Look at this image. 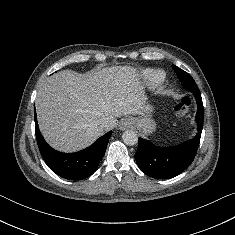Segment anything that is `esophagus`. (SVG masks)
Instances as JSON below:
<instances>
[{
    "label": "esophagus",
    "mask_w": 235,
    "mask_h": 235,
    "mask_svg": "<svg viewBox=\"0 0 235 235\" xmlns=\"http://www.w3.org/2000/svg\"><path fill=\"white\" fill-rule=\"evenodd\" d=\"M131 123L128 120H124L120 123L119 128L121 130H125L126 128H129Z\"/></svg>",
    "instance_id": "obj_1"
}]
</instances>
